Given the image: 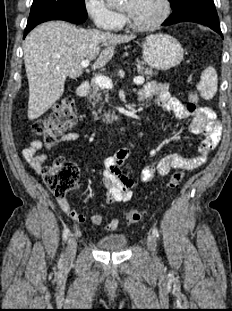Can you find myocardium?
<instances>
[{"label": "myocardium", "instance_id": "1", "mask_svg": "<svg viewBox=\"0 0 232 311\" xmlns=\"http://www.w3.org/2000/svg\"><path fill=\"white\" fill-rule=\"evenodd\" d=\"M159 2L161 4V11L159 16L154 21L145 25H140L133 22L130 16L128 15L126 17V22L128 26L137 32H151L157 29L159 26H161L167 20L170 14V3L169 0H159Z\"/></svg>", "mask_w": 232, "mask_h": 311}]
</instances>
